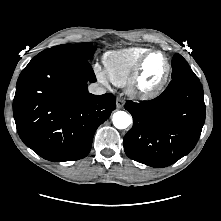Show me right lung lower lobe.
I'll return each mask as SVG.
<instances>
[{
	"instance_id": "1",
	"label": "right lung lower lobe",
	"mask_w": 221,
	"mask_h": 221,
	"mask_svg": "<svg viewBox=\"0 0 221 221\" xmlns=\"http://www.w3.org/2000/svg\"><path fill=\"white\" fill-rule=\"evenodd\" d=\"M96 77L88 61L41 57L22 70L13 114L22 141L49 161L84 158L96 129L116 108L113 94L93 95Z\"/></svg>"
}]
</instances>
